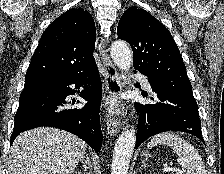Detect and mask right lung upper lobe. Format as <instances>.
<instances>
[{
	"instance_id": "right-lung-upper-lobe-1",
	"label": "right lung upper lobe",
	"mask_w": 224,
	"mask_h": 174,
	"mask_svg": "<svg viewBox=\"0 0 224 174\" xmlns=\"http://www.w3.org/2000/svg\"><path fill=\"white\" fill-rule=\"evenodd\" d=\"M95 23L81 8L69 9L54 20L41 36L25 84L57 76L77 74L96 65Z\"/></svg>"
}]
</instances>
